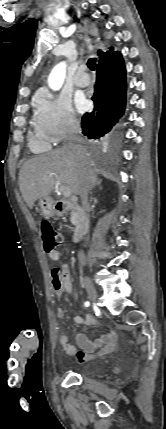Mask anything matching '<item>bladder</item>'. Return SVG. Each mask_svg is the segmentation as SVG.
Listing matches in <instances>:
<instances>
[{"mask_svg":"<svg viewBox=\"0 0 166 429\" xmlns=\"http://www.w3.org/2000/svg\"><path fill=\"white\" fill-rule=\"evenodd\" d=\"M98 371H99L98 368H92V369H86L85 373H87V374H93V373H96Z\"/></svg>","mask_w":166,"mask_h":429,"instance_id":"obj_1","label":"bladder"}]
</instances>
